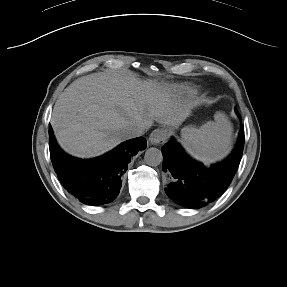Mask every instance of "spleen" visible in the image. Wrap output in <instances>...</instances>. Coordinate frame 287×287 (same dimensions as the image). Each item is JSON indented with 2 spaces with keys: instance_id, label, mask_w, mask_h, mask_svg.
Listing matches in <instances>:
<instances>
[{
  "instance_id": "obj_1",
  "label": "spleen",
  "mask_w": 287,
  "mask_h": 287,
  "mask_svg": "<svg viewBox=\"0 0 287 287\" xmlns=\"http://www.w3.org/2000/svg\"><path fill=\"white\" fill-rule=\"evenodd\" d=\"M233 127L228 117L217 112L214 121L199 128L186 127L182 131V144L195 159L210 164L226 157L231 149Z\"/></svg>"
}]
</instances>
